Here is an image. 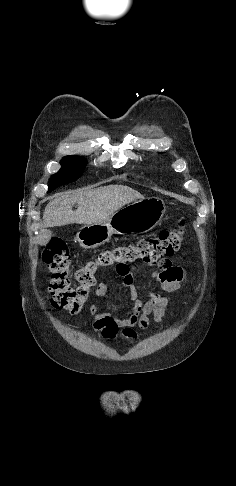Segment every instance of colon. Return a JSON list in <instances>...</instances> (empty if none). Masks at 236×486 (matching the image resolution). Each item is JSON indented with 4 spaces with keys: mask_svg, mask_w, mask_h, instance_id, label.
Returning <instances> with one entry per match:
<instances>
[{
    "mask_svg": "<svg viewBox=\"0 0 236 486\" xmlns=\"http://www.w3.org/2000/svg\"><path fill=\"white\" fill-rule=\"evenodd\" d=\"M183 240V224H181L178 230H163L157 235L140 239L135 243L105 250L77 270L75 277L78 285L74 287L69 278L70 251L62 239L54 238L43 252V260L51 272L49 282L51 303L57 309L77 313L87 302L90 290L96 283V273L100 268L114 264L116 267L127 266L136 260L147 263L158 261L173 255L181 247Z\"/></svg>",
    "mask_w": 236,
    "mask_h": 486,
    "instance_id": "obj_1",
    "label": "colon"
}]
</instances>
